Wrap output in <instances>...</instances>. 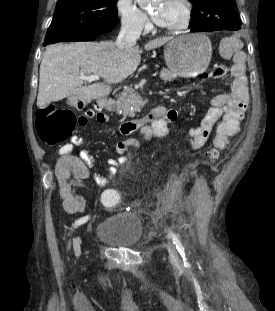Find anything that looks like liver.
<instances>
[{
    "label": "liver",
    "instance_id": "6515ba94",
    "mask_svg": "<svg viewBox=\"0 0 275 311\" xmlns=\"http://www.w3.org/2000/svg\"><path fill=\"white\" fill-rule=\"evenodd\" d=\"M172 37L149 41L145 50L159 48ZM138 46L120 49L115 43L76 42L49 46L40 65L37 106L43 109L50 102L77 95L86 102L108 96L111 84L132 75L141 62ZM98 75L104 83L83 86L80 75Z\"/></svg>",
    "mask_w": 275,
    "mask_h": 311
}]
</instances>
